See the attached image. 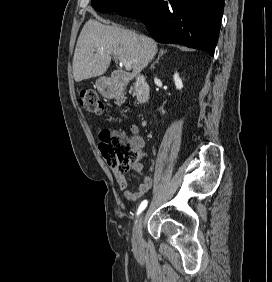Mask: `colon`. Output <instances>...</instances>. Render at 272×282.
<instances>
[{
  "instance_id": "1",
  "label": "colon",
  "mask_w": 272,
  "mask_h": 282,
  "mask_svg": "<svg viewBox=\"0 0 272 282\" xmlns=\"http://www.w3.org/2000/svg\"><path fill=\"white\" fill-rule=\"evenodd\" d=\"M80 105L87 112L102 114L104 107L100 97L92 90L80 92ZM100 151L106 163L121 173L128 172L141 158V152L118 131L104 128L98 134Z\"/></svg>"
}]
</instances>
